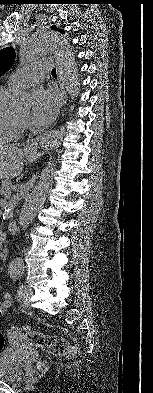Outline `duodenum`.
I'll return each instance as SVG.
<instances>
[{"label": "duodenum", "instance_id": "1", "mask_svg": "<svg viewBox=\"0 0 153 393\" xmlns=\"http://www.w3.org/2000/svg\"><path fill=\"white\" fill-rule=\"evenodd\" d=\"M7 230H8L10 233L15 234V233L17 232V230H18V224H17V222H16V221H10V222L7 224Z\"/></svg>", "mask_w": 153, "mask_h": 393}]
</instances>
